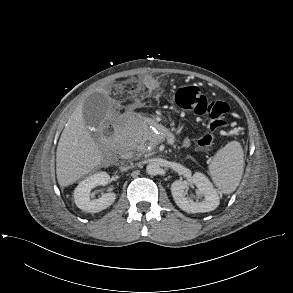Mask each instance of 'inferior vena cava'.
I'll use <instances>...</instances> for the list:
<instances>
[{
  "instance_id": "inferior-vena-cava-1",
  "label": "inferior vena cava",
  "mask_w": 293,
  "mask_h": 293,
  "mask_svg": "<svg viewBox=\"0 0 293 293\" xmlns=\"http://www.w3.org/2000/svg\"><path fill=\"white\" fill-rule=\"evenodd\" d=\"M128 168H129V167H121L120 170H121V171H125V170H127Z\"/></svg>"
}]
</instances>
